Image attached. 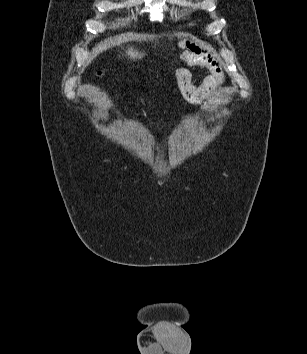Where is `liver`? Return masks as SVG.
Wrapping results in <instances>:
<instances>
[{
    "mask_svg": "<svg viewBox=\"0 0 307 354\" xmlns=\"http://www.w3.org/2000/svg\"><path fill=\"white\" fill-rule=\"evenodd\" d=\"M126 54L132 60L141 59L143 56H145V52H139L138 50H134L133 48H128Z\"/></svg>",
    "mask_w": 307,
    "mask_h": 354,
    "instance_id": "6515ba94",
    "label": "liver"
}]
</instances>
